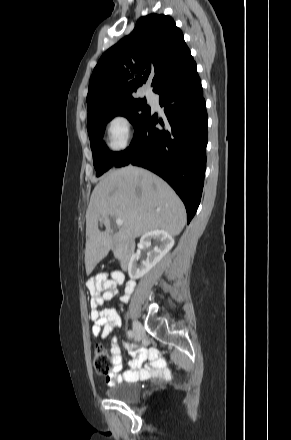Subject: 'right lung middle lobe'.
Segmentation results:
<instances>
[{
    "instance_id": "right-lung-middle-lobe-1",
    "label": "right lung middle lobe",
    "mask_w": 291,
    "mask_h": 440,
    "mask_svg": "<svg viewBox=\"0 0 291 440\" xmlns=\"http://www.w3.org/2000/svg\"><path fill=\"white\" fill-rule=\"evenodd\" d=\"M151 108L147 105L146 99L134 97L102 104L88 111L87 129L91 143L94 167L96 176L102 175L110 169L117 161L120 152H111L103 141L105 125L117 115L126 117L134 129L145 119Z\"/></svg>"
}]
</instances>
